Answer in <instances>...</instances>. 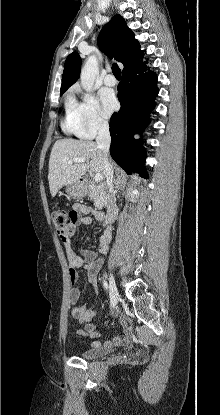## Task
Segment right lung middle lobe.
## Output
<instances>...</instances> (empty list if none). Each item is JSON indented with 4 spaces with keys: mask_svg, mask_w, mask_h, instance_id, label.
<instances>
[{
    "mask_svg": "<svg viewBox=\"0 0 220 415\" xmlns=\"http://www.w3.org/2000/svg\"><path fill=\"white\" fill-rule=\"evenodd\" d=\"M64 92H60V95H62Z\"/></svg>",
    "mask_w": 220,
    "mask_h": 415,
    "instance_id": "dd1d6c3e",
    "label": "right lung middle lobe"
}]
</instances>
